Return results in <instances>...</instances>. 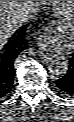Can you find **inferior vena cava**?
Segmentation results:
<instances>
[{
    "label": "inferior vena cava",
    "mask_w": 74,
    "mask_h": 122,
    "mask_svg": "<svg viewBox=\"0 0 74 122\" xmlns=\"http://www.w3.org/2000/svg\"><path fill=\"white\" fill-rule=\"evenodd\" d=\"M39 3L35 2V6L33 7H25L22 13L20 14V23L26 24L29 20L33 19L34 16L37 14L39 8Z\"/></svg>",
    "instance_id": "obj_1"
}]
</instances>
